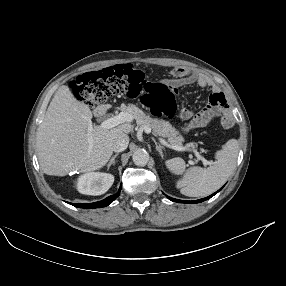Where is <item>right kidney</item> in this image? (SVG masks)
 Instances as JSON below:
<instances>
[{
	"label": "right kidney",
	"instance_id": "right-kidney-1",
	"mask_svg": "<svg viewBox=\"0 0 286 286\" xmlns=\"http://www.w3.org/2000/svg\"><path fill=\"white\" fill-rule=\"evenodd\" d=\"M114 182V176L109 173L90 172L79 177L77 189L86 195H101L108 191Z\"/></svg>",
	"mask_w": 286,
	"mask_h": 286
}]
</instances>
